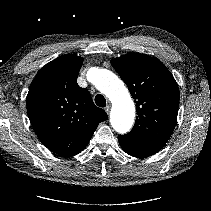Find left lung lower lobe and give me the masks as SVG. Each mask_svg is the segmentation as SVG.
Listing matches in <instances>:
<instances>
[{
  "label": "left lung lower lobe",
  "instance_id": "left-lung-lower-lobe-1",
  "mask_svg": "<svg viewBox=\"0 0 211 211\" xmlns=\"http://www.w3.org/2000/svg\"><path fill=\"white\" fill-rule=\"evenodd\" d=\"M118 140L127 154L137 158H146L157 153L167 142L133 138L126 135H119Z\"/></svg>",
  "mask_w": 211,
  "mask_h": 211
}]
</instances>
